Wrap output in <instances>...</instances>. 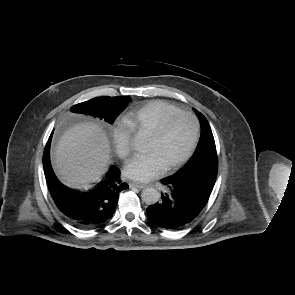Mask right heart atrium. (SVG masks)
<instances>
[{
  "label": "right heart atrium",
  "mask_w": 295,
  "mask_h": 295,
  "mask_svg": "<svg viewBox=\"0 0 295 295\" xmlns=\"http://www.w3.org/2000/svg\"><path fill=\"white\" fill-rule=\"evenodd\" d=\"M115 151L122 159L131 153V131L124 123H116L112 129Z\"/></svg>",
  "instance_id": "d8ad5b80"
}]
</instances>
